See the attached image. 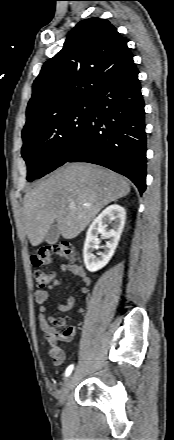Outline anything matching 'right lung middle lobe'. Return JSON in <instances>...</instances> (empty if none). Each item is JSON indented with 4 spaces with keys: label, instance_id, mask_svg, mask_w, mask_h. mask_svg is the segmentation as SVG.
I'll return each instance as SVG.
<instances>
[{
    "label": "right lung middle lobe",
    "instance_id": "1",
    "mask_svg": "<svg viewBox=\"0 0 174 440\" xmlns=\"http://www.w3.org/2000/svg\"><path fill=\"white\" fill-rule=\"evenodd\" d=\"M90 112L91 99H83L22 131L21 153L27 163L28 181L65 163L87 127Z\"/></svg>",
    "mask_w": 174,
    "mask_h": 440
}]
</instances>
